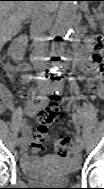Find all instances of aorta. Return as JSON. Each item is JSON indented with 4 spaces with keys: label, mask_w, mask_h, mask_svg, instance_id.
<instances>
[{
    "label": "aorta",
    "mask_w": 104,
    "mask_h": 189,
    "mask_svg": "<svg viewBox=\"0 0 104 189\" xmlns=\"http://www.w3.org/2000/svg\"><path fill=\"white\" fill-rule=\"evenodd\" d=\"M77 3L75 1H65L62 4L61 21L58 26V36H69L73 31L76 18ZM55 82H64V73L55 74Z\"/></svg>",
    "instance_id": "aorta-1"
}]
</instances>
